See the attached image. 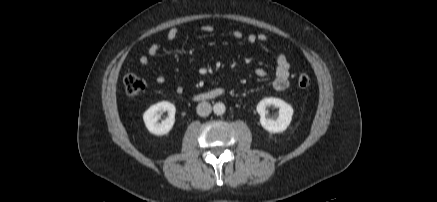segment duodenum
<instances>
[{
    "mask_svg": "<svg viewBox=\"0 0 437 202\" xmlns=\"http://www.w3.org/2000/svg\"><path fill=\"white\" fill-rule=\"evenodd\" d=\"M223 94V90L221 88H215L206 92L198 93L195 95V99L197 100H206L218 97Z\"/></svg>",
    "mask_w": 437,
    "mask_h": 202,
    "instance_id": "410a0bca",
    "label": "duodenum"
}]
</instances>
